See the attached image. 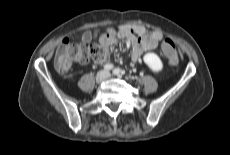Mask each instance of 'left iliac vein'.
Masks as SVG:
<instances>
[{"mask_svg":"<svg viewBox=\"0 0 230 155\" xmlns=\"http://www.w3.org/2000/svg\"><path fill=\"white\" fill-rule=\"evenodd\" d=\"M109 76H110V74L108 73V74H107V77H109Z\"/></svg>","mask_w":230,"mask_h":155,"instance_id":"left-iliac-vein-1","label":"left iliac vein"}]
</instances>
